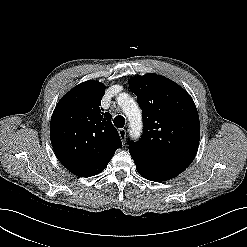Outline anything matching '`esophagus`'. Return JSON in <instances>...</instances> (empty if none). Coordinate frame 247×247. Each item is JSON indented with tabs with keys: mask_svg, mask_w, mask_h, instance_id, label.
<instances>
[{
	"mask_svg": "<svg viewBox=\"0 0 247 247\" xmlns=\"http://www.w3.org/2000/svg\"><path fill=\"white\" fill-rule=\"evenodd\" d=\"M119 136L123 144L126 142V129L122 128L118 130Z\"/></svg>",
	"mask_w": 247,
	"mask_h": 247,
	"instance_id": "esophagus-1",
	"label": "esophagus"
}]
</instances>
